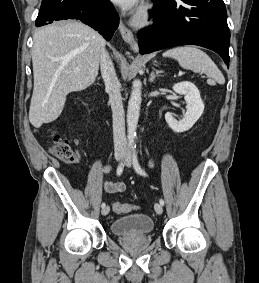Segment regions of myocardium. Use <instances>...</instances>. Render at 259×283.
Wrapping results in <instances>:
<instances>
[{
  "label": "myocardium",
  "mask_w": 259,
  "mask_h": 283,
  "mask_svg": "<svg viewBox=\"0 0 259 283\" xmlns=\"http://www.w3.org/2000/svg\"><path fill=\"white\" fill-rule=\"evenodd\" d=\"M150 14L147 8H143L140 13L135 17L133 24L135 26H145L148 24Z\"/></svg>",
  "instance_id": "myocardium-1"
}]
</instances>
